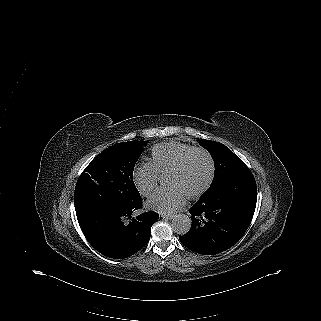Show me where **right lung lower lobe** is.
<instances>
[{"label":"right lung lower lobe","instance_id":"1","mask_svg":"<svg viewBox=\"0 0 321 321\" xmlns=\"http://www.w3.org/2000/svg\"><path fill=\"white\" fill-rule=\"evenodd\" d=\"M141 206L140 199L132 206L104 207L76 214L83 234L98 252L122 259L137 253L148 243L151 226L159 219L154 211L133 218L132 213Z\"/></svg>","mask_w":321,"mask_h":321}]
</instances>
